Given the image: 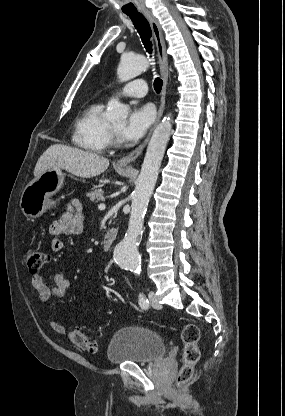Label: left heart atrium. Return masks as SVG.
Listing matches in <instances>:
<instances>
[{
  "mask_svg": "<svg viewBox=\"0 0 285 416\" xmlns=\"http://www.w3.org/2000/svg\"><path fill=\"white\" fill-rule=\"evenodd\" d=\"M154 118V113L149 105L134 107L119 133L124 141L135 142L147 131Z\"/></svg>",
  "mask_w": 285,
  "mask_h": 416,
  "instance_id": "obj_1",
  "label": "left heart atrium"
}]
</instances>
